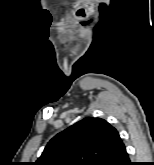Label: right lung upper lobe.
I'll return each mask as SVG.
<instances>
[{
  "instance_id": "1",
  "label": "right lung upper lobe",
  "mask_w": 154,
  "mask_h": 165,
  "mask_svg": "<svg viewBox=\"0 0 154 165\" xmlns=\"http://www.w3.org/2000/svg\"><path fill=\"white\" fill-rule=\"evenodd\" d=\"M107 121L87 117L53 137L35 165H106L120 141Z\"/></svg>"
}]
</instances>
